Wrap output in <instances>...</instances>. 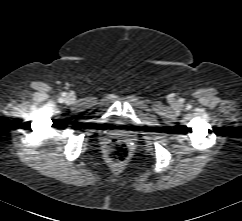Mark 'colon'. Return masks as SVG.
Wrapping results in <instances>:
<instances>
[{
	"label": "colon",
	"mask_w": 242,
	"mask_h": 221,
	"mask_svg": "<svg viewBox=\"0 0 242 221\" xmlns=\"http://www.w3.org/2000/svg\"><path fill=\"white\" fill-rule=\"evenodd\" d=\"M106 153L112 162H124L130 155L129 145L124 141L112 140L107 145Z\"/></svg>",
	"instance_id": "5ec220e1"
}]
</instances>
